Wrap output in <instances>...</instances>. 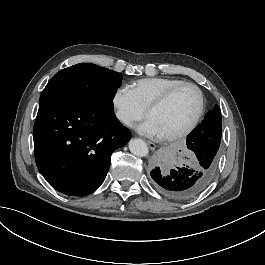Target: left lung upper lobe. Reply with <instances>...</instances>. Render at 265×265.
Here are the masks:
<instances>
[{"label":"left lung upper lobe","mask_w":265,"mask_h":265,"mask_svg":"<svg viewBox=\"0 0 265 265\" xmlns=\"http://www.w3.org/2000/svg\"><path fill=\"white\" fill-rule=\"evenodd\" d=\"M193 131L199 132L202 136L211 139H221L222 134V118L218 105L207 113L205 119Z\"/></svg>","instance_id":"5c2ea615"}]
</instances>
